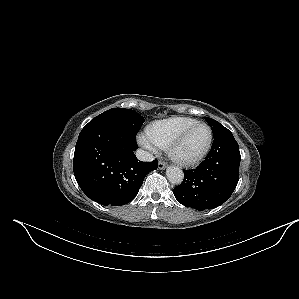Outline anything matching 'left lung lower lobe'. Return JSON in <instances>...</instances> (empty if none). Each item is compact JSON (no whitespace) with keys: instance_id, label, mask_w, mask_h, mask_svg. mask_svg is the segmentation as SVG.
<instances>
[{"instance_id":"obj_1","label":"left lung lower lobe","mask_w":299,"mask_h":299,"mask_svg":"<svg viewBox=\"0 0 299 299\" xmlns=\"http://www.w3.org/2000/svg\"><path fill=\"white\" fill-rule=\"evenodd\" d=\"M239 145L231 131L214 134L211 151L193 170H184V180L173 193L178 202L196 210L213 209L232 195L239 180Z\"/></svg>"}]
</instances>
